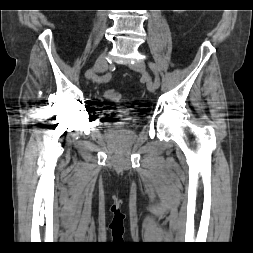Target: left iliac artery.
Returning a JSON list of instances; mask_svg holds the SVG:
<instances>
[{
  "mask_svg": "<svg viewBox=\"0 0 253 253\" xmlns=\"http://www.w3.org/2000/svg\"><path fill=\"white\" fill-rule=\"evenodd\" d=\"M149 67L155 75L154 85H155L156 88H158L160 86V77H159V74H158L157 66L153 62H150Z\"/></svg>",
  "mask_w": 253,
  "mask_h": 253,
  "instance_id": "1",
  "label": "left iliac artery"
}]
</instances>
